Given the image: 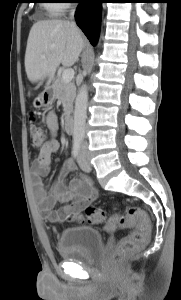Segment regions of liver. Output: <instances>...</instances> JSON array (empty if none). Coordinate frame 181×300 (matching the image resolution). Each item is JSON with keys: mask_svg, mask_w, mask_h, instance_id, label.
<instances>
[{"mask_svg": "<svg viewBox=\"0 0 181 300\" xmlns=\"http://www.w3.org/2000/svg\"><path fill=\"white\" fill-rule=\"evenodd\" d=\"M85 45L84 37L75 23L62 20L36 22L29 33L25 53V70L32 83L47 78L50 87L57 67L72 66Z\"/></svg>", "mask_w": 181, "mask_h": 300, "instance_id": "liver-1", "label": "liver"}]
</instances>
